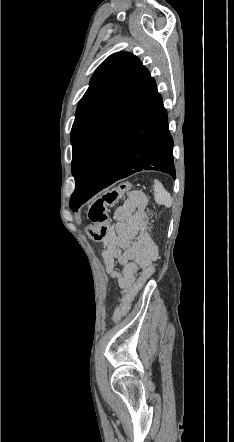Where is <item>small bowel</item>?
Instances as JSON below:
<instances>
[{"label": "small bowel", "mask_w": 234, "mask_h": 442, "mask_svg": "<svg viewBox=\"0 0 234 442\" xmlns=\"http://www.w3.org/2000/svg\"><path fill=\"white\" fill-rule=\"evenodd\" d=\"M147 198L140 192H132L117 207L113 222L102 241L99 253L107 273L121 290L127 291L134 284L140 270L145 271L156 259V249L148 241L133 243L146 219ZM121 266V271L116 265Z\"/></svg>", "instance_id": "c3829d8e"}]
</instances>
